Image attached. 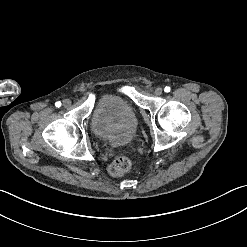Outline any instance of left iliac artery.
<instances>
[{"mask_svg": "<svg viewBox=\"0 0 247 247\" xmlns=\"http://www.w3.org/2000/svg\"><path fill=\"white\" fill-rule=\"evenodd\" d=\"M170 90H171V88H170L169 86H166V87L164 88V91L167 92V93L170 92Z\"/></svg>", "mask_w": 247, "mask_h": 247, "instance_id": "1", "label": "left iliac artery"}]
</instances>
